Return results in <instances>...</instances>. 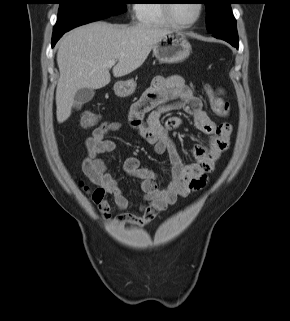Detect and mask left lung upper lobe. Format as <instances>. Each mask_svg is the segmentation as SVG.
<instances>
[{"label":"left lung upper lobe","instance_id":"1","mask_svg":"<svg viewBox=\"0 0 290 321\" xmlns=\"http://www.w3.org/2000/svg\"><path fill=\"white\" fill-rule=\"evenodd\" d=\"M207 10V30L212 34L236 29L230 4L233 0H203Z\"/></svg>","mask_w":290,"mask_h":321}]
</instances>
